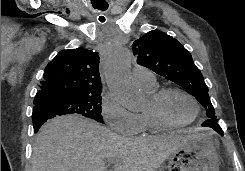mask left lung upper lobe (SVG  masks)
Here are the masks:
<instances>
[{
    "instance_id": "1",
    "label": "left lung upper lobe",
    "mask_w": 245,
    "mask_h": 171,
    "mask_svg": "<svg viewBox=\"0 0 245 171\" xmlns=\"http://www.w3.org/2000/svg\"><path fill=\"white\" fill-rule=\"evenodd\" d=\"M133 53L137 56L138 64L189 91L206 109L208 120L216 121L204 78L189 51L178 40L162 31L153 30L134 42Z\"/></svg>"
}]
</instances>
